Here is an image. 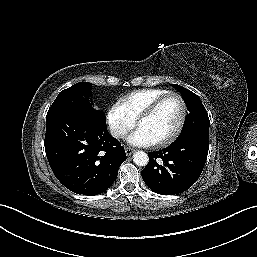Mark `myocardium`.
Segmentation results:
<instances>
[{
	"label": "myocardium",
	"mask_w": 257,
	"mask_h": 257,
	"mask_svg": "<svg viewBox=\"0 0 257 257\" xmlns=\"http://www.w3.org/2000/svg\"><path fill=\"white\" fill-rule=\"evenodd\" d=\"M171 97H176L178 98V100L180 101L181 104V118L180 121L176 127V129L174 130V132L169 135L168 137L158 141L155 143L156 146H166L169 145L171 143H173L181 134L184 125L186 123V119H187V113H188V108H187V104L185 99L183 98V96L177 92H169L167 94H165L164 96L158 98L157 100H155L147 109H145L137 118V126H139V123L146 119L149 118L150 116H152L158 109L159 107L169 98Z\"/></svg>",
	"instance_id": "1"
}]
</instances>
